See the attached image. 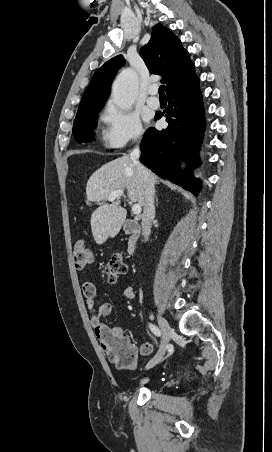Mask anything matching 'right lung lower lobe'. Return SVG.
<instances>
[{
    "label": "right lung lower lobe",
    "mask_w": 272,
    "mask_h": 452,
    "mask_svg": "<svg viewBox=\"0 0 272 452\" xmlns=\"http://www.w3.org/2000/svg\"><path fill=\"white\" fill-rule=\"evenodd\" d=\"M167 99L169 104L163 115L169 126L162 131L155 128L146 131L140 161L158 176L196 194L200 191V182L190 175L199 165L198 152L205 128L198 77L168 93ZM179 159H184L189 166L184 172L179 167Z\"/></svg>",
    "instance_id": "98d812e1"
}]
</instances>
